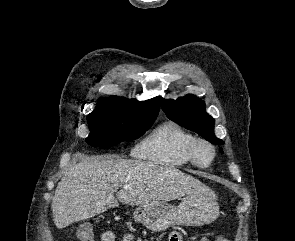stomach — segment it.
Here are the masks:
<instances>
[{
    "mask_svg": "<svg viewBox=\"0 0 295 241\" xmlns=\"http://www.w3.org/2000/svg\"><path fill=\"white\" fill-rule=\"evenodd\" d=\"M217 196L210 190L187 195L177 206L168 203L140 205L133 212L134 220L153 232H160L175 225L203 226L217 219Z\"/></svg>",
    "mask_w": 295,
    "mask_h": 241,
    "instance_id": "1",
    "label": "stomach"
}]
</instances>
